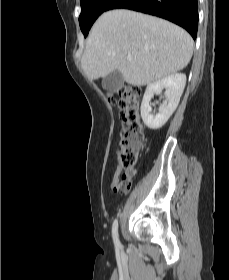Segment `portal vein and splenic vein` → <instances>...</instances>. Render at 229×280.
<instances>
[{
	"mask_svg": "<svg viewBox=\"0 0 229 280\" xmlns=\"http://www.w3.org/2000/svg\"><path fill=\"white\" fill-rule=\"evenodd\" d=\"M127 59H128V60H132V59H133V57H132V56H130V55H128V56H127Z\"/></svg>",
	"mask_w": 229,
	"mask_h": 280,
	"instance_id": "1",
	"label": "portal vein and splenic vein"
}]
</instances>
